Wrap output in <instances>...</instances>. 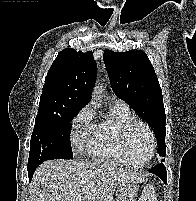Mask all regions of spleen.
<instances>
[{"label": "spleen", "instance_id": "spleen-1", "mask_svg": "<svg viewBox=\"0 0 196 201\" xmlns=\"http://www.w3.org/2000/svg\"><path fill=\"white\" fill-rule=\"evenodd\" d=\"M141 201H157V196L152 186H147L142 193Z\"/></svg>", "mask_w": 196, "mask_h": 201}]
</instances>
